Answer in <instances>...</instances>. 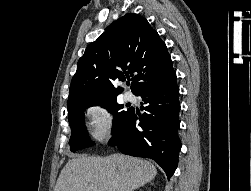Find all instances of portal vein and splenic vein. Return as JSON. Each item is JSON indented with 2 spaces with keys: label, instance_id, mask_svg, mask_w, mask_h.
<instances>
[{
  "label": "portal vein and splenic vein",
  "instance_id": "portal-vein-and-splenic-vein-1",
  "mask_svg": "<svg viewBox=\"0 0 251 191\" xmlns=\"http://www.w3.org/2000/svg\"><path fill=\"white\" fill-rule=\"evenodd\" d=\"M97 191H103V189H99V187H96Z\"/></svg>",
  "mask_w": 251,
  "mask_h": 191
}]
</instances>
